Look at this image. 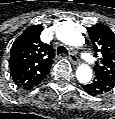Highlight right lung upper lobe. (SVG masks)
<instances>
[{
    "instance_id": "cb5924a9",
    "label": "right lung upper lobe",
    "mask_w": 115,
    "mask_h": 119,
    "mask_svg": "<svg viewBox=\"0 0 115 119\" xmlns=\"http://www.w3.org/2000/svg\"><path fill=\"white\" fill-rule=\"evenodd\" d=\"M43 27H28L13 43L10 52V75L17 86L31 89L47 76L55 57L53 48L44 44Z\"/></svg>"
}]
</instances>
